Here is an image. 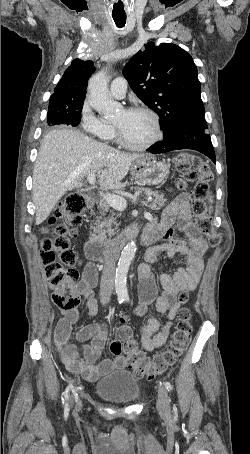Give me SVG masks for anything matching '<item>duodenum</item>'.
<instances>
[{
  "instance_id": "obj_1",
  "label": "duodenum",
  "mask_w": 250,
  "mask_h": 454,
  "mask_svg": "<svg viewBox=\"0 0 250 454\" xmlns=\"http://www.w3.org/2000/svg\"><path fill=\"white\" fill-rule=\"evenodd\" d=\"M86 206L93 208L95 205V200L91 196L85 197ZM139 232L137 226L131 229L123 230L117 237L113 238L109 242H96L89 243L87 245V256L89 259L104 263L113 258L114 254L133 236H136Z\"/></svg>"
}]
</instances>
